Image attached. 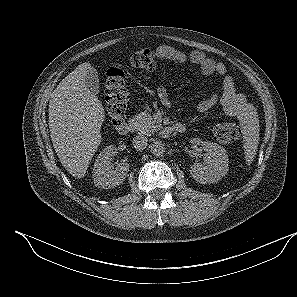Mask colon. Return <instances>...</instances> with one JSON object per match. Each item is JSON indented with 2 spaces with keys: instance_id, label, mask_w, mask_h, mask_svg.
<instances>
[{
  "instance_id": "1",
  "label": "colon",
  "mask_w": 297,
  "mask_h": 297,
  "mask_svg": "<svg viewBox=\"0 0 297 297\" xmlns=\"http://www.w3.org/2000/svg\"><path fill=\"white\" fill-rule=\"evenodd\" d=\"M128 64L135 68L152 70L156 65L155 54L149 48H140L128 56ZM105 89L109 120L113 125H118L125 117L128 104V89L123 66L113 65L107 70ZM213 135L217 141L231 144L239 139L240 128L231 122L218 123L213 128Z\"/></svg>"
}]
</instances>
